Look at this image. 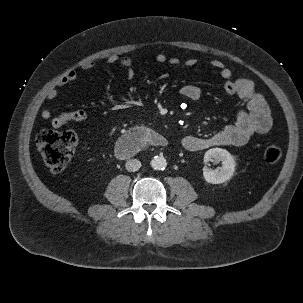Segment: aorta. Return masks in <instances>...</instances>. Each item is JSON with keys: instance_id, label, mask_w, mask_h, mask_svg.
I'll use <instances>...</instances> for the list:
<instances>
[{"instance_id": "obj_1", "label": "aorta", "mask_w": 303, "mask_h": 303, "mask_svg": "<svg viewBox=\"0 0 303 303\" xmlns=\"http://www.w3.org/2000/svg\"><path fill=\"white\" fill-rule=\"evenodd\" d=\"M150 164L154 170H164L167 166L166 159L162 156H155Z\"/></svg>"}]
</instances>
